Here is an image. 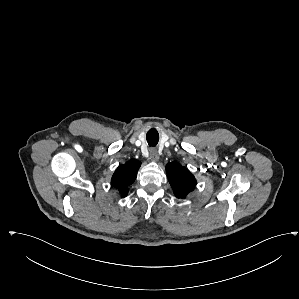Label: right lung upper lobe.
<instances>
[{"mask_svg":"<svg viewBox=\"0 0 299 299\" xmlns=\"http://www.w3.org/2000/svg\"><path fill=\"white\" fill-rule=\"evenodd\" d=\"M139 167L140 162L132 160L119 166L114 172L111 185L120 191L122 197L127 195L128 186L135 181Z\"/></svg>","mask_w":299,"mask_h":299,"instance_id":"1","label":"right lung upper lobe"}]
</instances>
